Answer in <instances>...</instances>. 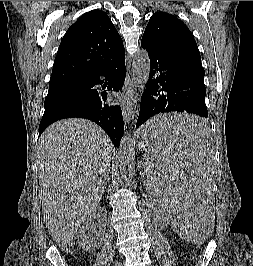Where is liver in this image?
<instances>
[{
  "label": "liver",
  "instance_id": "6515ba94",
  "mask_svg": "<svg viewBox=\"0 0 253 266\" xmlns=\"http://www.w3.org/2000/svg\"><path fill=\"white\" fill-rule=\"evenodd\" d=\"M115 149L107 134L86 119L50 125L38 147L42 213L55 243L65 252L78 227L97 208Z\"/></svg>",
  "mask_w": 253,
  "mask_h": 266
}]
</instances>
